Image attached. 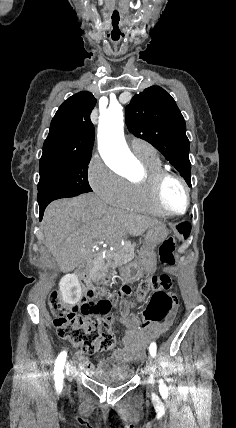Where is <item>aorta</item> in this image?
I'll return each instance as SVG.
<instances>
[{
	"mask_svg": "<svg viewBox=\"0 0 236 428\" xmlns=\"http://www.w3.org/2000/svg\"><path fill=\"white\" fill-rule=\"evenodd\" d=\"M123 127V107L110 106L99 118L98 149L107 164L128 174L137 160L126 144Z\"/></svg>",
	"mask_w": 236,
	"mask_h": 428,
	"instance_id": "obj_1",
	"label": "aorta"
}]
</instances>
